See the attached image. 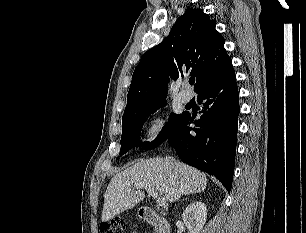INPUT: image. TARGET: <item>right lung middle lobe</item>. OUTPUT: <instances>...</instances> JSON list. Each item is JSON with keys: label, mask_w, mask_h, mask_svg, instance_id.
<instances>
[{"label": "right lung middle lobe", "mask_w": 306, "mask_h": 233, "mask_svg": "<svg viewBox=\"0 0 306 233\" xmlns=\"http://www.w3.org/2000/svg\"><path fill=\"white\" fill-rule=\"evenodd\" d=\"M165 104L166 101H162L139 111H136L127 116H124L122 118L120 155L125 154L131 148L138 147L139 145H141L139 136L146 117L151 115L155 110L161 108ZM184 115L185 113L180 115L171 114L168 124L164 126L157 138L150 144L144 143V146H146L147 149H153L159 146L164 141H166L177 130Z\"/></svg>", "instance_id": "1"}]
</instances>
